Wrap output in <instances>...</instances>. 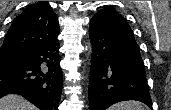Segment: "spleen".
Listing matches in <instances>:
<instances>
[{
    "label": "spleen",
    "mask_w": 171,
    "mask_h": 110,
    "mask_svg": "<svg viewBox=\"0 0 171 110\" xmlns=\"http://www.w3.org/2000/svg\"><path fill=\"white\" fill-rule=\"evenodd\" d=\"M109 110H144V106L139 101H124L114 104Z\"/></svg>",
    "instance_id": "obj_1"
}]
</instances>
